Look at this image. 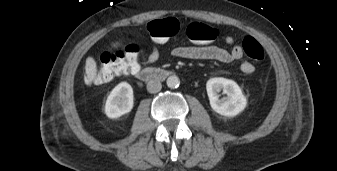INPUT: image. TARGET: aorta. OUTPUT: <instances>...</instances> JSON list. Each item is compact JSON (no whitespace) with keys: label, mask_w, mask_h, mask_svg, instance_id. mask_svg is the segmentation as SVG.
Returning <instances> with one entry per match:
<instances>
[{"label":"aorta","mask_w":337,"mask_h":171,"mask_svg":"<svg viewBox=\"0 0 337 171\" xmlns=\"http://www.w3.org/2000/svg\"><path fill=\"white\" fill-rule=\"evenodd\" d=\"M166 84L169 88L174 89L179 87L180 80L176 75L169 76L166 80Z\"/></svg>","instance_id":"aorta-1"}]
</instances>
